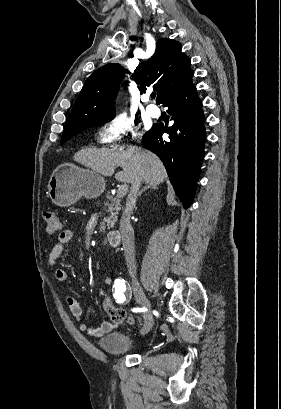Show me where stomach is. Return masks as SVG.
I'll return each instance as SVG.
<instances>
[{"instance_id":"stomach-1","label":"stomach","mask_w":281,"mask_h":409,"mask_svg":"<svg viewBox=\"0 0 281 409\" xmlns=\"http://www.w3.org/2000/svg\"><path fill=\"white\" fill-rule=\"evenodd\" d=\"M106 180L95 170L64 162L55 168L48 182V194L57 207H70L81 196L96 198L103 192Z\"/></svg>"}]
</instances>
